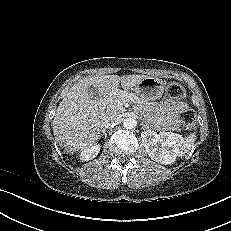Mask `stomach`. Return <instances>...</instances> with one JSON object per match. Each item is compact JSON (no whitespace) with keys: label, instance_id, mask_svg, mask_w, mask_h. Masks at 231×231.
Returning a JSON list of instances; mask_svg holds the SVG:
<instances>
[{"label":"stomach","instance_id":"1","mask_svg":"<svg viewBox=\"0 0 231 231\" xmlns=\"http://www.w3.org/2000/svg\"><path fill=\"white\" fill-rule=\"evenodd\" d=\"M164 89V81L152 76L142 79L136 86L131 88L136 96L145 101L161 98L164 93Z\"/></svg>","mask_w":231,"mask_h":231}]
</instances>
